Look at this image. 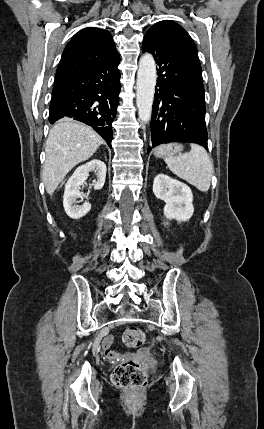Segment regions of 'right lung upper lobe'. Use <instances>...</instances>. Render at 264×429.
<instances>
[{"label": "right lung upper lobe", "mask_w": 264, "mask_h": 429, "mask_svg": "<svg viewBox=\"0 0 264 429\" xmlns=\"http://www.w3.org/2000/svg\"><path fill=\"white\" fill-rule=\"evenodd\" d=\"M116 51L110 32L96 27L79 31L63 52L55 84L92 68Z\"/></svg>", "instance_id": "right-lung-upper-lobe-1"}]
</instances>
